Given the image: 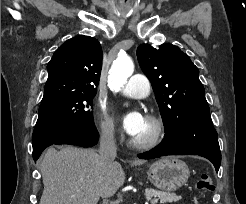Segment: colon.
<instances>
[{"instance_id":"1","label":"colon","mask_w":246,"mask_h":204,"mask_svg":"<svg viewBox=\"0 0 246 204\" xmlns=\"http://www.w3.org/2000/svg\"><path fill=\"white\" fill-rule=\"evenodd\" d=\"M196 188L200 194L213 191L215 186L212 178L209 175H201L196 182Z\"/></svg>"}]
</instances>
